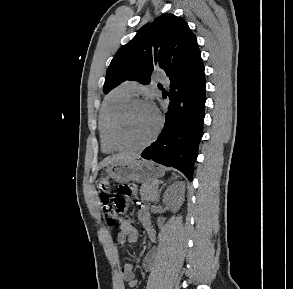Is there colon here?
Listing matches in <instances>:
<instances>
[{"instance_id": "5ec220e1", "label": "colon", "mask_w": 293, "mask_h": 289, "mask_svg": "<svg viewBox=\"0 0 293 289\" xmlns=\"http://www.w3.org/2000/svg\"><path fill=\"white\" fill-rule=\"evenodd\" d=\"M135 187L132 184H122L118 187L117 193L111 199L106 193H101L102 213L106 216L107 222L110 226L116 224V217L118 213L127 211L130 203L134 201Z\"/></svg>"}]
</instances>
